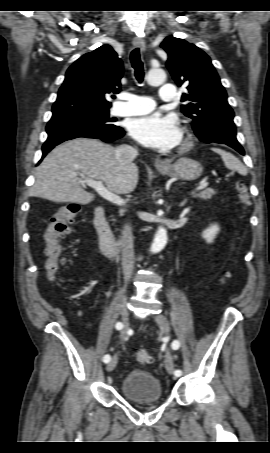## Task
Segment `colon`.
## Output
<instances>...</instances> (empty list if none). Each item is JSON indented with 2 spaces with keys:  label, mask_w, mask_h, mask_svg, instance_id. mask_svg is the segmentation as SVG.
<instances>
[{
  "label": "colon",
  "mask_w": 270,
  "mask_h": 453,
  "mask_svg": "<svg viewBox=\"0 0 270 453\" xmlns=\"http://www.w3.org/2000/svg\"><path fill=\"white\" fill-rule=\"evenodd\" d=\"M235 190L241 206L246 209L250 206V193L248 187L243 182L235 184ZM80 211V206L76 203L63 205L50 220L45 232V269L50 281L57 278L61 265L65 261L63 240L70 233V226L76 221ZM137 362L144 366L152 361V356L147 350H139L136 353Z\"/></svg>",
  "instance_id": "colon-1"
}]
</instances>
